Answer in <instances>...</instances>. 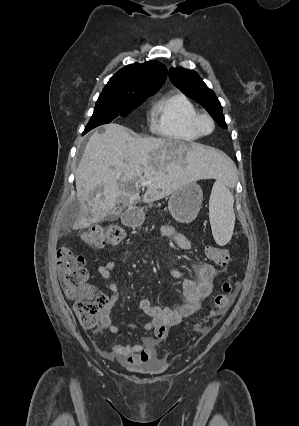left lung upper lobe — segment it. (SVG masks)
I'll list each match as a JSON object with an SVG mask.
<instances>
[{"mask_svg": "<svg viewBox=\"0 0 299 426\" xmlns=\"http://www.w3.org/2000/svg\"><path fill=\"white\" fill-rule=\"evenodd\" d=\"M169 77L173 84L183 93L203 105L219 126L227 129L219 100L196 72L183 68H171Z\"/></svg>", "mask_w": 299, "mask_h": 426, "instance_id": "1", "label": "left lung upper lobe"}]
</instances>
